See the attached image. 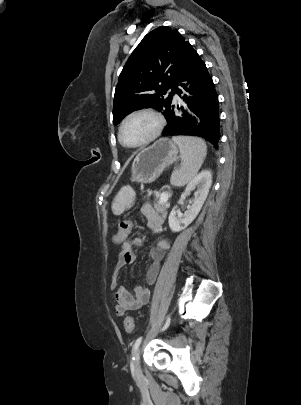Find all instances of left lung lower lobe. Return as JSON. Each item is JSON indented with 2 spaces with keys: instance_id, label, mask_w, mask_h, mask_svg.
<instances>
[{
  "instance_id": "1",
  "label": "left lung lower lobe",
  "mask_w": 301,
  "mask_h": 405,
  "mask_svg": "<svg viewBox=\"0 0 301 405\" xmlns=\"http://www.w3.org/2000/svg\"><path fill=\"white\" fill-rule=\"evenodd\" d=\"M183 81H191L190 94L194 97L183 95L184 106L178 107L180 110L178 114L174 112V105L171 106L165 115L167 126L162 135L199 136L209 141L214 148H218L220 142L218 96L206 65L196 51L192 54L179 83ZM178 85L175 93L181 96L183 92ZM180 86L189 92L185 84Z\"/></svg>"
}]
</instances>
